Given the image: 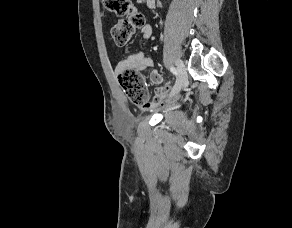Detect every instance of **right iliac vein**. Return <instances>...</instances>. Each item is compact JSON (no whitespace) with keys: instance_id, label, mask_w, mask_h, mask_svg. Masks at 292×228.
Wrapping results in <instances>:
<instances>
[{"instance_id":"right-iliac-vein-1","label":"right iliac vein","mask_w":292,"mask_h":228,"mask_svg":"<svg viewBox=\"0 0 292 228\" xmlns=\"http://www.w3.org/2000/svg\"><path fill=\"white\" fill-rule=\"evenodd\" d=\"M176 65H177L179 76H178L176 85L172 91V95L178 93L183 87H185L188 81L187 72H186V68L183 61L180 59H177Z\"/></svg>"}]
</instances>
